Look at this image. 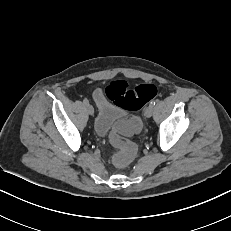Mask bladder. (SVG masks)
Here are the masks:
<instances>
[{"label":"bladder","instance_id":"obj_1","mask_svg":"<svg viewBox=\"0 0 231 231\" xmlns=\"http://www.w3.org/2000/svg\"><path fill=\"white\" fill-rule=\"evenodd\" d=\"M97 111L93 123L94 134L99 138L108 136L113 125L125 117V111L107 101L101 90L94 93Z\"/></svg>","mask_w":231,"mask_h":231}]
</instances>
